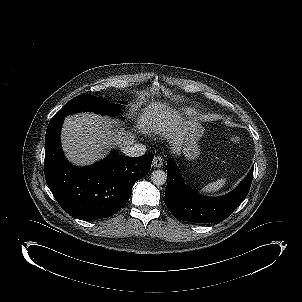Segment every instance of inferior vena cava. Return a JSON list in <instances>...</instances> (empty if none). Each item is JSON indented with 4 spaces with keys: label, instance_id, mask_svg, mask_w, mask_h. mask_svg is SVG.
I'll list each match as a JSON object with an SVG mask.
<instances>
[{
    "label": "inferior vena cava",
    "instance_id": "1",
    "mask_svg": "<svg viewBox=\"0 0 302 302\" xmlns=\"http://www.w3.org/2000/svg\"><path fill=\"white\" fill-rule=\"evenodd\" d=\"M123 153L129 157H139L146 153L147 149L144 144L137 143L132 146H125L122 149Z\"/></svg>",
    "mask_w": 302,
    "mask_h": 302
}]
</instances>
